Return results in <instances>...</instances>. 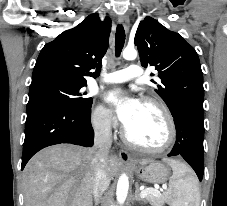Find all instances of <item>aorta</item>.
Segmentation results:
<instances>
[{
    "label": "aorta",
    "instance_id": "aorta-1",
    "mask_svg": "<svg viewBox=\"0 0 227 206\" xmlns=\"http://www.w3.org/2000/svg\"><path fill=\"white\" fill-rule=\"evenodd\" d=\"M122 56L126 60H134L137 57V51L134 48L124 49ZM129 189V180L128 176L124 173L118 179L117 189H116V198L119 205L124 204Z\"/></svg>",
    "mask_w": 227,
    "mask_h": 206
}]
</instances>
